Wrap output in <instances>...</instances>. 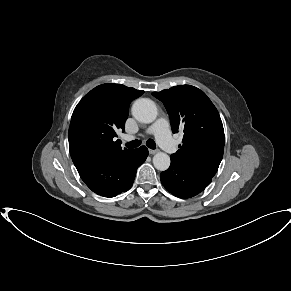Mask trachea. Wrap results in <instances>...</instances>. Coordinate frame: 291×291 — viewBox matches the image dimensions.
<instances>
[{
    "label": "trachea",
    "instance_id": "1",
    "mask_svg": "<svg viewBox=\"0 0 291 291\" xmlns=\"http://www.w3.org/2000/svg\"><path fill=\"white\" fill-rule=\"evenodd\" d=\"M141 144V141L139 140H134V141H130L126 143V147L129 149L132 148H136ZM146 145L150 148V149H156V144L152 139L147 140Z\"/></svg>",
    "mask_w": 291,
    "mask_h": 291
}]
</instances>
